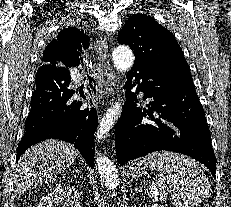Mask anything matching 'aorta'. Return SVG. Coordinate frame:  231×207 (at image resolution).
Listing matches in <instances>:
<instances>
[{
    "instance_id": "obj_1",
    "label": "aorta",
    "mask_w": 231,
    "mask_h": 207,
    "mask_svg": "<svg viewBox=\"0 0 231 207\" xmlns=\"http://www.w3.org/2000/svg\"><path fill=\"white\" fill-rule=\"evenodd\" d=\"M134 59L133 52L127 46H118L112 53L114 65L120 71H128L133 66ZM121 113L122 103L118 100L108 109L99 122L98 130L95 135L98 141L105 137L112 126L120 118ZM95 163L104 185L110 190H115L119 185V174L114 163L101 153L97 154Z\"/></svg>"
}]
</instances>
